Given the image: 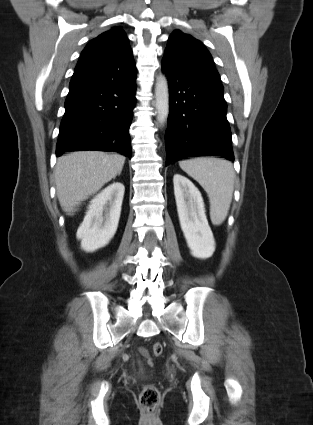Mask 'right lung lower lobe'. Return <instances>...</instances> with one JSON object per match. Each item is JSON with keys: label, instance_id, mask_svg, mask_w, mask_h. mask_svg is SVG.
<instances>
[{"label": "right lung lower lobe", "instance_id": "right-lung-lower-lobe-1", "mask_svg": "<svg viewBox=\"0 0 313 425\" xmlns=\"http://www.w3.org/2000/svg\"><path fill=\"white\" fill-rule=\"evenodd\" d=\"M135 64L76 66L65 100L56 156L97 150L131 157L128 129L135 106Z\"/></svg>", "mask_w": 313, "mask_h": 425}]
</instances>
